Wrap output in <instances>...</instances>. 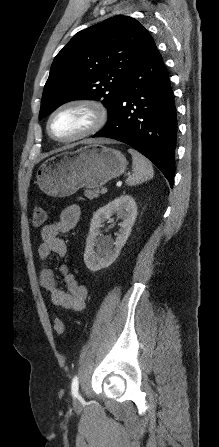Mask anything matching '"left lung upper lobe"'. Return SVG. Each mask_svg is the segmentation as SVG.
Instances as JSON below:
<instances>
[{
    "label": "left lung upper lobe",
    "mask_w": 219,
    "mask_h": 447,
    "mask_svg": "<svg viewBox=\"0 0 219 447\" xmlns=\"http://www.w3.org/2000/svg\"><path fill=\"white\" fill-rule=\"evenodd\" d=\"M151 38L128 16H114L78 32L52 63L39 119L76 99L102 100L110 116Z\"/></svg>",
    "instance_id": "5c2ea615"
}]
</instances>
